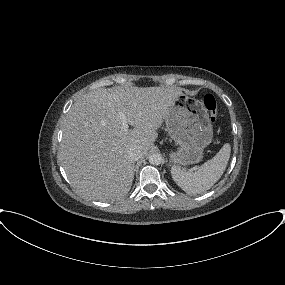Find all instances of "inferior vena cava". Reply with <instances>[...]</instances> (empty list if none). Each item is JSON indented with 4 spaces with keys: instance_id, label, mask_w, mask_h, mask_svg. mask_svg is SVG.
Wrapping results in <instances>:
<instances>
[{
    "instance_id": "inferior-vena-cava-1",
    "label": "inferior vena cava",
    "mask_w": 285,
    "mask_h": 285,
    "mask_svg": "<svg viewBox=\"0 0 285 285\" xmlns=\"http://www.w3.org/2000/svg\"><path fill=\"white\" fill-rule=\"evenodd\" d=\"M128 154H129V157L131 159H133L134 161L139 160L143 156L142 150L139 147H137V146H131L128 149Z\"/></svg>"
}]
</instances>
